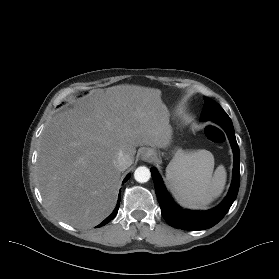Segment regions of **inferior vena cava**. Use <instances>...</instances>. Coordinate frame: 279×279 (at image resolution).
Segmentation results:
<instances>
[{
  "instance_id": "obj_1",
  "label": "inferior vena cava",
  "mask_w": 279,
  "mask_h": 279,
  "mask_svg": "<svg viewBox=\"0 0 279 279\" xmlns=\"http://www.w3.org/2000/svg\"><path fill=\"white\" fill-rule=\"evenodd\" d=\"M132 164V160L129 157V155L120 152L116 159L114 160V166L119 170V171H124L127 169L130 165Z\"/></svg>"
}]
</instances>
